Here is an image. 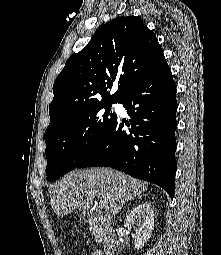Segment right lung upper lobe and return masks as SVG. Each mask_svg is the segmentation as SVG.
<instances>
[{"mask_svg":"<svg viewBox=\"0 0 221 255\" xmlns=\"http://www.w3.org/2000/svg\"><path fill=\"white\" fill-rule=\"evenodd\" d=\"M163 56L156 35L140 17H116L104 24L56 78L46 131L88 106L119 102ZM114 82L118 90L110 95Z\"/></svg>","mask_w":221,"mask_h":255,"instance_id":"right-lung-upper-lobe-1","label":"right lung upper lobe"}]
</instances>
